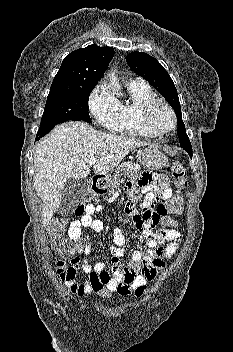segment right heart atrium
<instances>
[{"label":"right heart atrium","mask_w":233,"mask_h":352,"mask_svg":"<svg viewBox=\"0 0 233 352\" xmlns=\"http://www.w3.org/2000/svg\"><path fill=\"white\" fill-rule=\"evenodd\" d=\"M88 104L92 117L100 126L117 131L120 102L106 83H100L92 90Z\"/></svg>","instance_id":"right-heart-atrium-1"}]
</instances>
